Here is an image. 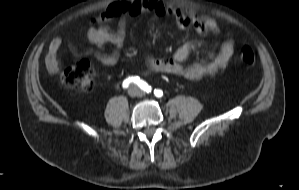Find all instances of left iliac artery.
<instances>
[{"mask_svg":"<svg viewBox=\"0 0 299 190\" xmlns=\"http://www.w3.org/2000/svg\"><path fill=\"white\" fill-rule=\"evenodd\" d=\"M154 93H155L156 96H160L162 94V91L155 89Z\"/></svg>","mask_w":299,"mask_h":190,"instance_id":"44dca946","label":"left iliac artery"}]
</instances>
